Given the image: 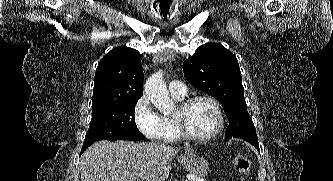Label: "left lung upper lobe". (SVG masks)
Listing matches in <instances>:
<instances>
[{"mask_svg":"<svg viewBox=\"0 0 333 181\" xmlns=\"http://www.w3.org/2000/svg\"><path fill=\"white\" fill-rule=\"evenodd\" d=\"M183 71L194 87L215 97L224 106L229 120L225 136L257 140L244 99L238 61L231 51L220 44H204L183 63Z\"/></svg>","mask_w":333,"mask_h":181,"instance_id":"5c2ea615","label":"left lung upper lobe"}]
</instances>
